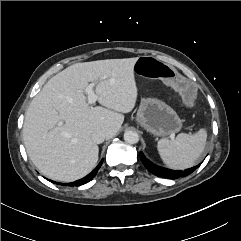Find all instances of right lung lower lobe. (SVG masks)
Segmentation results:
<instances>
[{
  "mask_svg": "<svg viewBox=\"0 0 241 241\" xmlns=\"http://www.w3.org/2000/svg\"><path fill=\"white\" fill-rule=\"evenodd\" d=\"M103 160L99 163V165L89 174L87 175L86 177L80 179V180H77L76 182H73V183H70V184H65V185H70V186H80V185H83L89 181H91L95 175L97 174L99 168L101 167V164H102Z\"/></svg>",
  "mask_w": 241,
  "mask_h": 241,
  "instance_id": "right-lung-lower-lobe-1",
  "label": "right lung lower lobe"
}]
</instances>
